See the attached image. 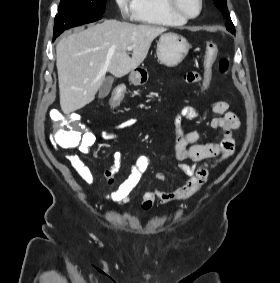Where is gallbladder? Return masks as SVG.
Listing matches in <instances>:
<instances>
[{"mask_svg":"<svg viewBox=\"0 0 280 283\" xmlns=\"http://www.w3.org/2000/svg\"><path fill=\"white\" fill-rule=\"evenodd\" d=\"M113 82L114 78L112 76H107L104 79L102 85L99 88V98H104L110 93Z\"/></svg>","mask_w":280,"mask_h":283,"instance_id":"bac80fb5","label":"gallbladder"}]
</instances>
